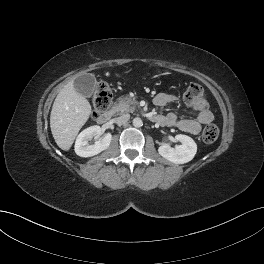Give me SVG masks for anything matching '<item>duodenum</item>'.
I'll use <instances>...</instances> for the list:
<instances>
[{
	"instance_id": "1",
	"label": "duodenum",
	"mask_w": 264,
	"mask_h": 264,
	"mask_svg": "<svg viewBox=\"0 0 264 264\" xmlns=\"http://www.w3.org/2000/svg\"><path fill=\"white\" fill-rule=\"evenodd\" d=\"M114 115V112L112 110H109V111H105L103 113H101L99 116H98V123L100 124H106V123H109L112 119ZM155 122L158 120L157 116H154L152 118Z\"/></svg>"
}]
</instances>
